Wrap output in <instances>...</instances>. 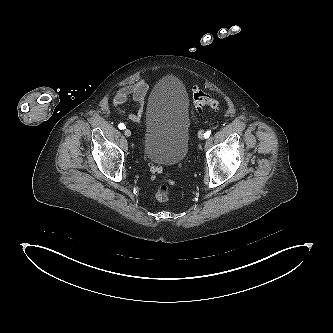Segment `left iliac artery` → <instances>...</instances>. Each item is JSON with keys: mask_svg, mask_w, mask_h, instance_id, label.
Wrapping results in <instances>:
<instances>
[{"mask_svg": "<svg viewBox=\"0 0 333 333\" xmlns=\"http://www.w3.org/2000/svg\"><path fill=\"white\" fill-rule=\"evenodd\" d=\"M210 135H211V130H208L204 133L205 138H209Z\"/></svg>", "mask_w": 333, "mask_h": 333, "instance_id": "44dca946", "label": "left iliac artery"}]
</instances>
